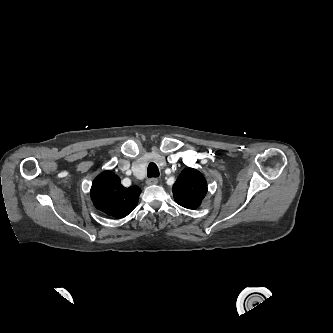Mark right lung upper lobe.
<instances>
[{
    "instance_id": "1",
    "label": "right lung upper lobe",
    "mask_w": 333,
    "mask_h": 333,
    "mask_svg": "<svg viewBox=\"0 0 333 333\" xmlns=\"http://www.w3.org/2000/svg\"><path fill=\"white\" fill-rule=\"evenodd\" d=\"M140 193L138 186L123 187L120 178L111 171L99 174L91 187L95 207L115 218L127 216L137 206Z\"/></svg>"
}]
</instances>
